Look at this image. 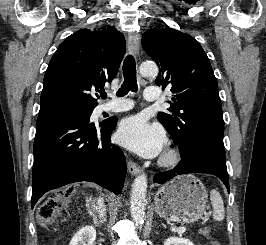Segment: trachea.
<instances>
[{
  "instance_id": "obj_1",
  "label": "trachea",
  "mask_w": 266,
  "mask_h": 245,
  "mask_svg": "<svg viewBox=\"0 0 266 245\" xmlns=\"http://www.w3.org/2000/svg\"><path fill=\"white\" fill-rule=\"evenodd\" d=\"M123 76H124V83L117 92V95L119 97H123L130 90L132 92L137 91L136 65L132 55H128L124 60ZM101 97L106 98V93H102Z\"/></svg>"
}]
</instances>
